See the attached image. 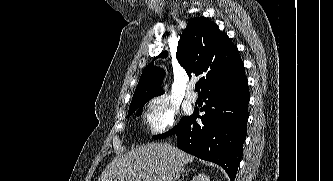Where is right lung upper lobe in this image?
Returning a JSON list of instances; mask_svg holds the SVG:
<instances>
[{
	"mask_svg": "<svg viewBox=\"0 0 333 181\" xmlns=\"http://www.w3.org/2000/svg\"><path fill=\"white\" fill-rule=\"evenodd\" d=\"M160 56H165V52ZM176 57L189 76L192 73L201 76L202 92L244 74V64L237 47L215 23L205 17L189 21L178 42ZM163 74L153 62L148 64L129 108L162 94L160 84Z\"/></svg>",
	"mask_w": 333,
	"mask_h": 181,
	"instance_id": "1",
	"label": "right lung upper lobe"
}]
</instances>
